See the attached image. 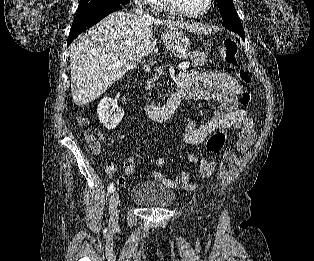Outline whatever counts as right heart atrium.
<instances>
[{
	"instance_id": "1",
	"label": "right heart atrium",
	"mask_w": 314,
	"mask_h": 261,
	"mask_svg": "<svg viewBox=\"0 0 314 261\" xmlns=\"http://www.w3.org/2000/svg\"><path fill=\"white\" fill-rule=\"evenodd\" d=\"M139 4L154 8L161 0H135Z\"/></svg>"
}]
</instances>
